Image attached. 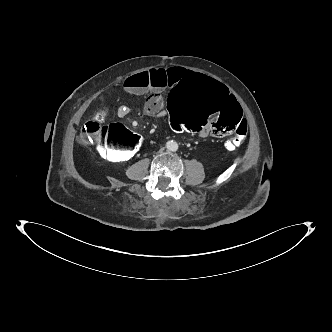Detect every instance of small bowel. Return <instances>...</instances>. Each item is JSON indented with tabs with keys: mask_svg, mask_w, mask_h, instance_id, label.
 I'll use <instances>...</instances> for the list:
<instances>
[{
	"mask_svg": "<svg viewBox=\"0 0 332 332\" xmlns=\"http://www.w3.org/2000/svg\"><path fill=\"white\" fill-rule=\"evenodd\" d=\"M186 75V71L179 68H153L134 74L124 80L125 92L132 95L149 94L144 105L146 115L151 117L166 115L162 94L172 91L178 81ZM130 108L122 106L118 109L117 115L120 118L129 114ZM242 121V118H241ZM172 127V126H171ZM173 128V127H172ZM174 129V128H173ZM176 130V129H174ZM177 131V130H176ZM225 135L215 136L224 137ZM200 137H207L202 136Z\"/></svg>",
	"mask_w": 332,
	"mask_h": 332,
	"instance_id": "1",
	"label": "small bowel"
}]
</instances>
